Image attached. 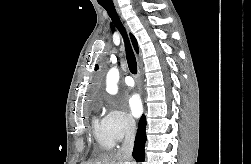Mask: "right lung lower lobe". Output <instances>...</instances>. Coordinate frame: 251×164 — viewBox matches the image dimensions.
Instances as JSON below:
<instances>
[{"instance_id":"right-lung-lower-lobe-1","label":"right lung lower lobe","mask_w":251,"mask_h":164,"mask_svg":"<svg viewBox=\"0 0 251 164\" xmlns=\"http://www.w3.org/2000/svg\"><path fill=\"white\" fill-rule=\"evenodd\" d=\"M145 126H146V119L145 116H143L140 119L138 130L136 134L135 139V145L133 149V157L137 162H144L145 153H144V147L146 142V133H145Z\"/></svg>"}]
</instances>
